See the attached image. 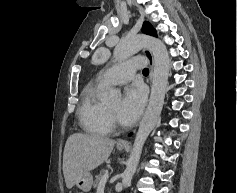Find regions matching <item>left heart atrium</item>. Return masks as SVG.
<instances>
[{
    "label": "left heart atrium",
    "mask_w": 237,
    "mask_h": 193,
    "mask_svg": "<svg viewBox=\"0 0 237 193\" xmlns=\"http://www.w3.org/2000/svg\"><path fill=\"white\" fill-rule=\"evenodd\" d=\"M146 102V89L136 82L127 87L119 110V120L125 124L135 122L140 116Z\"/></svg>",
    "instance_id": "1"
}]
</instances>
